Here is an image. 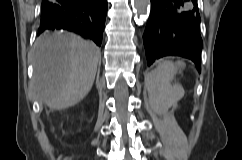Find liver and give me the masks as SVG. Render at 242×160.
Segmentation results:
<instances>
[{
	"mask_svg": "<svg viewBox=\"0 0 242 160\" xmlns=\"http://www.w3.org/2000/svg\"><path fill=\"white\" fill-rule=\"evenodd\" d=\"M100 49L73 33L37 39L33 50V95L50 109L81 101L94 83Z\"/></svg>",
	"mask_w": 242,
	"mask_h": 160,
	"instance_id": "6515ba94",
	"label": "liver"
}]
</instances>
